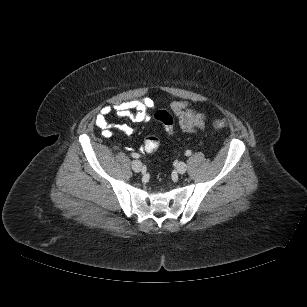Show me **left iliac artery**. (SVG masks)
<instances>
[{"mask_svg":"<svg viewBox=\"0 0 307 307\" xmlns=\"http://www.w3.org/2000/svg\"><path fill=\"white\" fill-rule=\"evenodd\" d=\"M191 154H192L191 150H187V151L185 152V155H186V156H190Z\"/></svg>","mask_w":307,"mask_h":307,"instance_id":"1","label":"left iliac artery"}]
</instances>
